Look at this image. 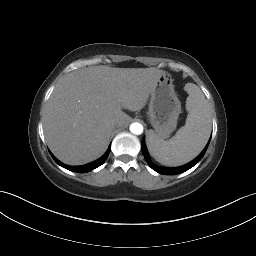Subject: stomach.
I'll use <instances>...</instances> for the list:
<instances>
[{
    "mask_svg": "<svg viewBox=\"0 0 256 256\" xmlns=\"http://www.w3.org/2000/svg\"><path fill=\"white\" fill-rule=\"evenodd\" d=\"M180 113L181 102L174 90L173 79L163 72L151 92L148 111V120L158 138H166L175 130Z\"/></svg>",
    "mask_w": 256,
    "mask_h": 256,
    "instance_id": "obj_1",
    "label": "stomach"
}]
</instances>
